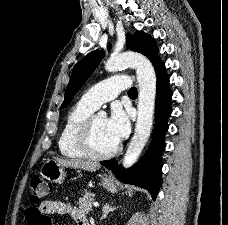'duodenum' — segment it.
I'll use <instances>...</instances> for the list:
<instances>
[{
	"mask_svg": "<svg viewBox=\"0 0 228 225\" xmlns=\"http://www.w3.org/2000/svg\"><path fill=\"white\" fill-rule=\"evenodd\" d=\"M78 225H89V222L85 217H82L78 223Z\"/></svg>",
	"mask_w": 228,
	"mask_h": 225,
	"instance_id": "duodenum-1",
	"label": "duodenum"
}]
</instances>
